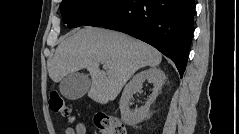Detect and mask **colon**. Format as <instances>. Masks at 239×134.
Wrapping results in <instances>:
<instances>
[{
    "instance_id": "obj_1",
    "label": "colon",
    "mask_w": 239,
    "mask_h": 134,
    "mask_svg": "<svg viewBox=\"0 0 239 134\" xmlns=\"http://www.w3.org/2000/svg\"><path fill=\"white\" fill-rule=\"evenodd\" d=\"M48 102L53 112L60 114L70 122L74 120L71 109L58 91H50ZM95 125L101 134H127L124 123L117 117L106 113H100L96 116Z\"/></svg>"
}]
</instances>
